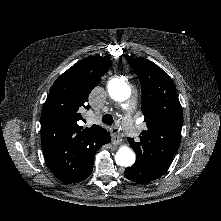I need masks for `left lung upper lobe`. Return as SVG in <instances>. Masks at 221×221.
<instances>
[{"label": "left lung upper lobe", "mask_w": 221, "mask_h": 221, "mask_svg": "<svg viewBox=\"0 0 221 221\" xmlns=\"http://www.w3.org/2000/svg\"><path fill=\"white\" fill-rule=\"evenodd\" d=\"M142 89L141 110L147 129L140 140L128 138L137 155L136 163L170 164L181 141L183 111L176 87L159 66L144 58H130Z\"/></svg>", "instance_id": "5c2ea615"}]
</instances>
